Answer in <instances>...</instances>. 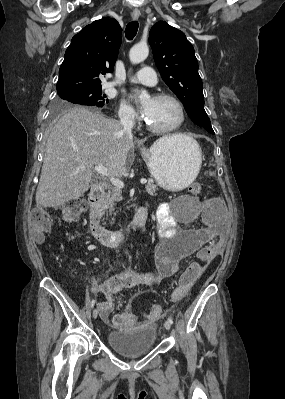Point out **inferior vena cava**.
Returning a JSON list of instances; mask_svg holds the SVG:
<instances>
[{"label":"inferior vena cava","instance_id":"1","mask_svg":"<svg viewBox=\"0 0 285 399\" xmlns=\"http://www.w3.org/2000/svg\"><path fill=\"white\" fill-rule=\"evenodd\" d=\"M120 124L122 125L124 131L130 134L134 126V119L129 113H125L120 116Z\"/></svg>","mask_w":285,"mask_h":399}]
</instances>
